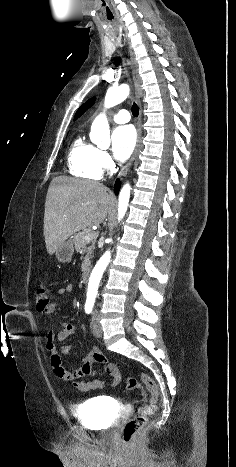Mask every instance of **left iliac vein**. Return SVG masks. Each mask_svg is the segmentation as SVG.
I'll list each match as a JSON object with an SVG mask.
<instances>
[{
	"label": "left iliac vein",
	"instance_id": "1",
	"mask_svg": "<svg viewBox=\"0 0 236 467\" xmlns=\"http://www.w3.org/2000/svg\"><path fill=\"white\" fill-rule=\"evenodd\" d=\"M91 330H92V333L95 337H102V327H101V324L99 322V318H98V313L95 311L93 312L92 314V318H91Z\"/></svg>",
	"mask_w": 236,
	"mask_h": 467
}]
</instances>
